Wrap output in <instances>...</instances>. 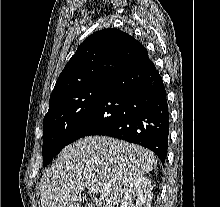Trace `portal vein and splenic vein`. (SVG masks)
Returning <instances> with one entry per match:
<instances>
[{
    "label": "portal vein and splenic vein",
    "mask_w": 220,
    "mask_h": 207,
    "mask_svg": "<svg viewBox=\"0 0 220 207\" xmlns=\"http://www.w3.org/2000/svg\"><path fill=\"white\" fill-rule=\"evenodd\" d=\"M89 192H90V193H98V192H100V189H98V188H96V187H90V188H89Z\"/></svg>",
    "instance_id": "1"
}]
</instances>
